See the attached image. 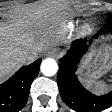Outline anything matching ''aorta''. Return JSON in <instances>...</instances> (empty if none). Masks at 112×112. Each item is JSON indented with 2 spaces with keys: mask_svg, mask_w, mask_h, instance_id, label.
I'll list each match as a JSON object with an SVG mask.
<instances>
[{
  "mask_svg": "<svg viewBox=\"0 0 112 112\" xmlns=\"http://www.w3.org/2000/svg\"><path fill=\"white\" fill-rule=\"evenodd\" d=\"M40 69L45 76H53L58 71V64L55 59L47 58L42 61Z\"/></svg>",
  "mask_w": 112,
  "mask_h": 112,
  "instance_id": "1",
  "label": "aorta"
}]
</instances>
